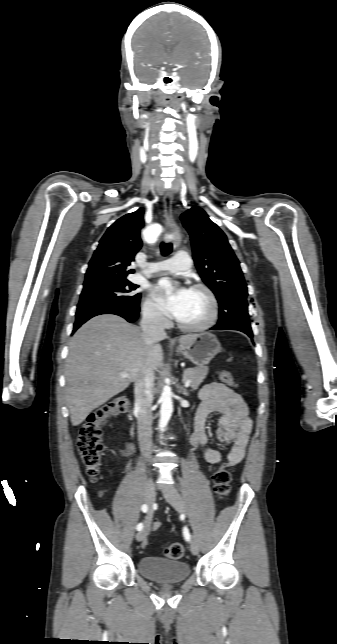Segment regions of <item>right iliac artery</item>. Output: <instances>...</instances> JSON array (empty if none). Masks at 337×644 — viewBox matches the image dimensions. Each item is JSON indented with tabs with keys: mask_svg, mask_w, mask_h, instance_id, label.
Wrapping results in <instances>:
<instances>
[{
	"mask_svg": "<svg viewBox=\"0 0 337 644\" xmlns=\"http://www.w3.org/2000/svg\"><path fill=\"white\" fill-rule=\"evenodd\" d=\"M141 510H142L144 513H145V512H147V511H148V506H147L146 504H143V505H142V507H141ZM142 528H143V524H142V523H139V524L137 525V527H136V529H137L138 531H141V530H142Z\"/></svg>",
	"mask_w": 337,
	"mask_h": 644,
	"instance_id": "right-iliac-artery-1",
	"label": "right iliac artery"
}]
</instances>
